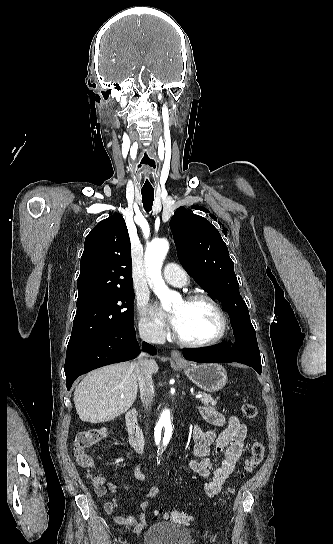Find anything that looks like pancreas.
I'll list each match as a JSON object with an SVG mask.
<instances>
[{
	"instance_id": "obj_1",
	"label": "pancreas",
	"mask_w": 333,
	"mask_h": 544,
	"mask_svg": "<svg viewBox=\"0 0 333 544\" xmlns=\"http://www.w3.org/2000/svg\"><path fill=\"white\" fill-rule=\"evenodd\" d=\"M199 393L203 395V397L200 399L203 405L205 406L216 405L217 403L216 399H213L210 395L206 393H202V392H199Z\"/></svg>"
}]
</instances>
